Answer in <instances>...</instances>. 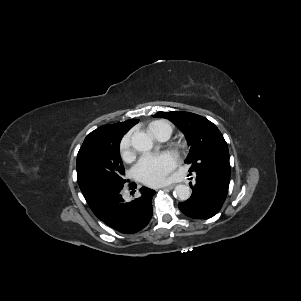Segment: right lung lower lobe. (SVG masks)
Listing matches in <instances>:
<instances>
[{"instance_id": "right-lung-lower-lobe-1", "label": "right lung lower lobe", "mask_w": 301, "mask_h": 301, "mask_svg": "<svg viewBox=\"0 0 301 301\" xmlns=\"http://www.w3.org/2000/svg\"><path fill=\"white\" fill-rule=\"evenodd\" d=\"M131 187L134 184L130 185ZM120 189L104 196L93 212L98 219L114 230L133 234L142 230L152 217L151 200L155 191L146 187L140 189V196L131 202H125Z\"/></svg>"}]
</instances>
